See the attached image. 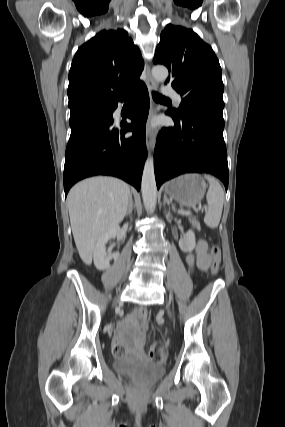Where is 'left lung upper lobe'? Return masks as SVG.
<instances>
[{"instance_id": "5c2ea615", "label": "left lung upper lobe", "mask_w": 285, "mask_h": 427, "mask_svg": "<svg viewBox=\"0 0 285 427\" xmlns=\"http://www.w3.org/2000/svg\"><path fill=\"white\" fill-rule=\"evenodd\" d=\"M154 64L167 66L166 83L182 96L177 110H169L181 118L198 112L223 116L221 67L212 48L191 29L168 24L160 36Z\"/></svg>"}]
</instances>
